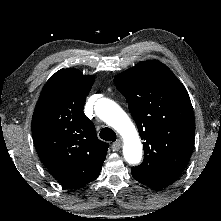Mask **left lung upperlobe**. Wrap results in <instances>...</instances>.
Returning <instances> with one entry per match:
<instances>
[{
    "instance_id": "left-lung-upper-lobe-1",
    "label": "left lung upper lobe",
    "mask_w": 221,
    "mask_h": 221,
    "mask_svg": "<svg viewBox=\"0 0 221 221\" xmlns=\"http://www.w3.org/2000/svg\"><path fill=\"white\" fill-rule=\"evenodd\" d=\"M125 96L144 147L132 176L145 185H171L186 167L194 143L195 118L189 95L158 60L143 61L114 78Z\"/></svg>"
}]
</instances>
